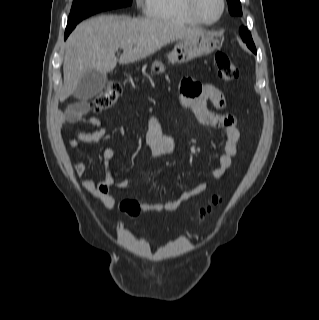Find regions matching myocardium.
<instances>
[{
	"label": "myocardium",
	"instance_id": "myocardium-1",
	"mask_svg": "<svg viewBox=\"0 0 319 320\" xmlns=\"http://www.w3.org/2000/svg\"><path fill=\"white\" fill-rule=\"evenodd\" d=\"M185 2H186V8H187L190 16L196 22H198L199 24H203V25H212V24L219 22L222 19L223 15L226 11V0H220L221 7H220L219 15L213 20H207V19L203 18L200 15V13L198 12L197 7H196L197 0H185Z\"/></svg>",
	"mask_w": 319,
	"mask_h": 320
}]
</instances>
